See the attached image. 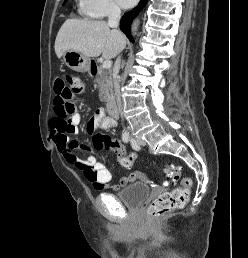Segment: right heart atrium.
Listing matches in <instances>:
<instances>
[{
    "label": "right heart atrium",
    "instance_id": "d8ad5b80",
    "mask_svg": "<svg viewBox=\"0 0 248 258\" xmlns=\"http://www.w3.org/2000/svg\"><path fill=\"white\" fill-rule=\"evenodd\" d=\"M79 11L90 18H104L119 13L115 0H79Z\"/></svg>",
    "mask_w": 248,
    "mask_h": 258
}]
</instances>
